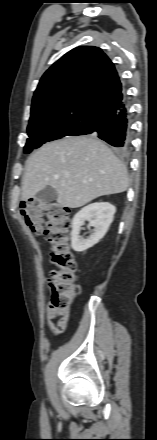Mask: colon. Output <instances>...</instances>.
<instances>
[{
  "mask_svg": "<svg viewBox=\"0 0 157 440\" xmlns=\"http://www.w3.org/2000/svg\"><path fill=\"white\" fill-rule=\"evenodd\" d=\"M21 216L36 234H42L51 245L50 258L55 265L51 273L49 309L57 317H68L77 294L78 263L70 243L69 209L38 198L21 203Z\"/></svg>",
  "mask_w": 157,
  "mask_h": 440,
  "instance_id": "colon-1",
  "label": "colon"
}]
</instances>
